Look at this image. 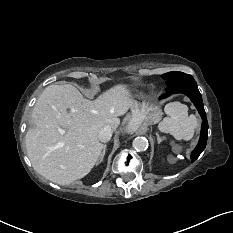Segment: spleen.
Wrapping results in <instances>:
<instances>
[{
    "mask_svg": "<svg viewBox=\"0 0 233 233\" xmlns=\"http://www.w3.org/2000/svg\"><path fill=\"white\" fill-rule=\"evenodd\" d=\"M167 117L158 125L161 132L170 133L176 140H190L198 126L195 115H188V108L180 102L168 103L164 108Z\"/></svg>",
    "mask_w": 233,
    "mask_h": 233,
    "instance_id": "spleen-1",
    "label": "spleen"
}]
</instances>
